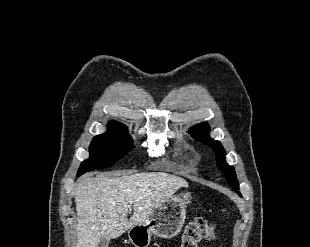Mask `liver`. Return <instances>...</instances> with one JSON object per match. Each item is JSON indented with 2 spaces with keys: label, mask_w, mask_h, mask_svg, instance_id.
Here are the masks:
<instances>
[{
  "label": "liver",
  "mask_w": 310,
  "mask_h": 247,
  "mask_svg": "<svg viewBox=\"0 0 310 247\" xmlns=\"http://www.w3.org/2000/svg\"><path fill=\"white\" fill-rule=\"evenodd\" d=\"M187 186L185 179L166 172L85 176L75 194L77 247H97L102 237L118 238L133 225L146 221L158 204Z\"/></svg>",
  "instance_id": "1"
}]
</instances>
